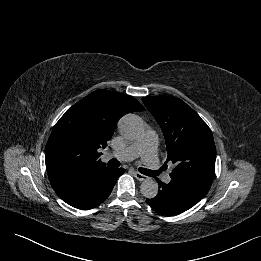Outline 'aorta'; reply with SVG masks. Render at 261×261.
I'll list each match as a JSON object with an SVG mask.
<instances>
[{"mask_svg":"<svg viewBox=\"0 0 261 261\" xmlns=\"http://www.w3.org/2000/svg\"><path fill=\"white\" fill-rule=\"evenodd\" d=\"M120 134L129 140L137 139L143 132V123L137 115L124 116L119 124ZM140 192L145 198L152 199L158 194V184L153 179H145L140 185Z\"/></svg>","mask_w":261,"mask_h":261,"instance_id":"1","label":"aorta"}]
</instances>
